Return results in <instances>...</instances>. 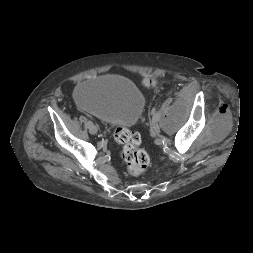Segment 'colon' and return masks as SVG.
<instances>
[{
	"label": "colon",
	"instance_id": "1",
	"mask_svg": "<svg viewBox=\"0 0 253 253\" xmlns=\"http://www.w3.org/2000/svg\"><path fill=\"white\" fill-rule=\"evenodd\" d=\"M115 140L122 146L121 157L130 174H142L149 164V156L140 148L141 138L136 132L124 127H117L114 131Z\"/></svg>",
	"mask_w": 253,
	"mask_h": 253
}]
</instances>
